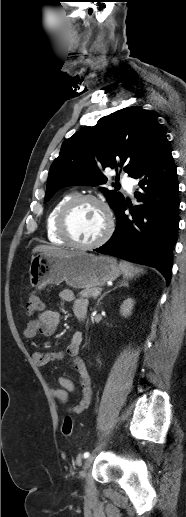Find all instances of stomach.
<instances>
[{
  "label": "stomach",
  "mask_w": 186,
  "mask_h": 517,
  "mask_svg": "<svg viewBox=\"0 0 186 517\" xmlns=\"http://www.w3.org/2000/svg\"><path fill=\"white\" fill-rule=\"evenodd\" d=\"M32 287L66 282L72 288H93L114 281L121 274L117 261L109 256L76 252L68 257L39 254L32 256L30 268Z\"/></svg>",
  "instance_id": "0dacf381"
}]
</instances>
